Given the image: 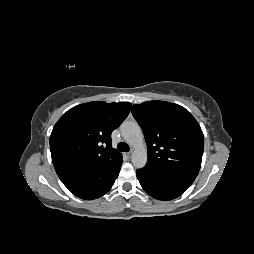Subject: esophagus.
I'll list each match as a JSON object with an SVG mask.
<instances>
[{
    "label": "esophagus",
    "instance_id": "obj_1",
    "mask_svg": "<svg viewBox=\"0 0 254 254\" xmlns=\"http://www.w3.org/2000/svg\"><path fill=\"white\" fill-rule=\"evenodd\" d=\"M132 154H133L132 151L128 152V153H127V157H128V158H131Z\"/></svg>",
    "mask_w": 254,
    "mask_h": 254
}]
</instances>
